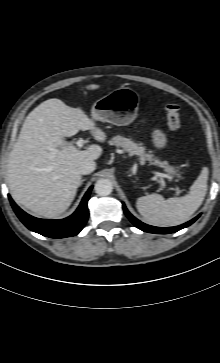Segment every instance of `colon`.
<instances>
[{"instance_id":"colon-1","label":"colon","mask_w":220,"mask_h":363,"mask_svg":"<svg viewBox=\"0 0 220 363\" xmlns=\"http://www.w3.org/2000/svg\"><path fill=\"white\" fill-rule=\"evenodd\" d=\"M166 116L170 130L177 131L181 128L180 108L178 105L168 104L166 106Z\"/></svg>"}]
</instances>
